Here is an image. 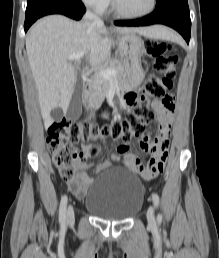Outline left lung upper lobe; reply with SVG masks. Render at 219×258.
I'll list each match as a JSON object with an SVG mask.
<instances>
[{"mask_svg": "<svg viewBox=\"0 0 219 258\" xmlns=\"http://www.w3.org/2000/svg\"><path fill=\"white\" fill-rule=\"evenodd\" d=\"M169 0H156V7Z\"/></svg>", "mask_w": 219, "mask_h": 258, "instance_id": "left-lung-upper-lobe-1", "label": "left lung upper lobe"}]
</instances>
